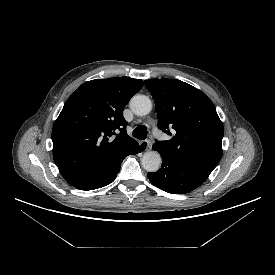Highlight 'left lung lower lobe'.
Listing matches in <instances>:
<instances>
[{"instance_id": "left-lung-lower-lobe-1", "label": "left lung lower lobe", "mask_w": 275, "mask_h": 275, "mask_svg": "<svg viewBox=\"0 0 275 275\" xmlns=\"http://www.w3.org/2000/svg\"><path fill=\"white\" fill-rule=\"evenodd\" d=\"M161 168L147 176L151 183L172 194H185L199 187L207 176L177 161L163 152Z\"/></svg>"}]
</instances>
